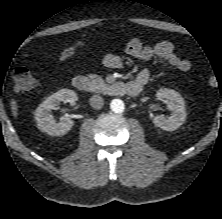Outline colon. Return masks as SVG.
Here are the masks:
<instances>
[{
  "instance_id": "1",
  "label": "colon",
  "mask_w": 222,
  "mask_h": 219,
  "mask_svg": "<svg viewBox=\"0 0 222 219\" xmlns=\"http://www.w3.org/2000/svg\"><path fill=\"white\" fill-rule=\"evenodd\" d=\"M14 89L19 93L32 92L38 88V80L34 75L24 66L17 67L13 72ZM218 80L211 76L208 79V85L215 87Z\"/></svg>"
}]
</instances>
